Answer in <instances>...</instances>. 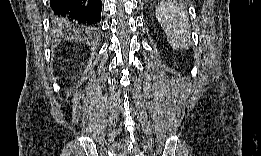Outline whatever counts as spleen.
Masks as SVG:
<instances>
[{
    "instance_id": "spleen-1",
    "label": "spleen",
    "mask_w": 261,
    "mask_h": 156,
    "mask_svg": "<svg viewBox=\"0 0 261 156\" xmlns=\"http://www.w3.org/2000/svg\"><path fill=\"white\" fill-rule=\"evenodd\" d=\"M155 14L169 44L175 49L188 50L191 46V37L186 12L173 2L164 1L156 6Z\"/></svg>"
}]
</instances>
